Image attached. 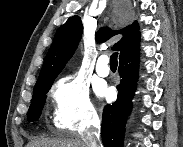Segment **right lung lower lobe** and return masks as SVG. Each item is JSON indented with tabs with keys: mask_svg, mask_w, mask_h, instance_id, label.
<instances>
[{
	"mask_svg": "<svg viewBox=\"0 0 183 147\" xmlns=\"http://www.w3.org/2000/svg\"><path fill=\"white\" fill-rule=\"evenodd\" d=\"M139 50L119 59V73L122 78L118 86L117 100L105 106L102 116L101 134L105 147H122L124 127L132 108L138 79Z\"/></svg>",
	"mask_w": 183,
	"mask_h": 147,
	"instance_id": "right-lung-lower-lobe-1",
	"label": "right lung lower lobe"
}]
</instances>
